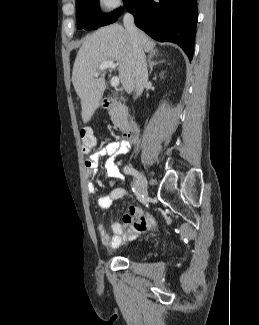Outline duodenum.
Returning <instances> with one entry per match:
<instances>
[{"label": "duodenum", "instance_id": "1", "mask_svg": "<svg viewBox=\"0 0 259 325\" xmlns=\"http://www.w3.org/2000/svg\"><path fill=\"white\" fill-rule=\"evenodd\" d=\"M114 104L115 101L110 97H105L102 101L103 109H110ZM139 134H140L139 125L135 121L129 120L123 134V141L133 142L135 139L138 138Z\"/></svg>", "mask_w": 259, "mask_h": 325}]
</instances>
